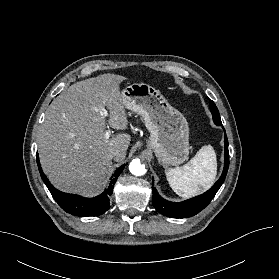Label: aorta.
<instances>
[{"label":"aorta","mask_w":279,"mask_h":279,"mask_svg":"<svg viewBox=\"0 0 279 279\" xmlns=\"http://www.w3.org/2000/svg\"><path fill=\"white\" fill-rule=\"evenodd\" d=\"M129 170L133 175L141 176L146 173V169L143 165H141L139 159H134L129 164Z\"/></svg>","instance_id":"obj_1"}]
</instances>
